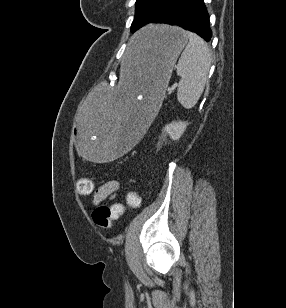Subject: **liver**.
Wrapping results in <instances>:
<instances>
[{"label":"liver","instance_id":"1","mask_svg":"<svg viewBox=\"0 0 286 308\" xmlns=\"http://www.w3.org/2000/svg\"><path fill=\"white\" fill-rule=\"evenodd\" d=\"M138 35V33L133 37V39H132V42L134 41V39H135V37ZM132 55H133V57H134V55H135V50H134V47L132 46Z\"/></svg>","mask_w":286,"mask_h":308}]
</instances>
